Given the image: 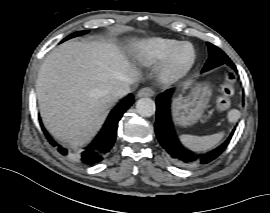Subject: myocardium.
<instances>
[{"mask_svg": "<svg viewBox=\"0 0 270 213\" xmlns=\"http://www.w3.org/2000/svg\"><path fill=\"white\" fill-rule=\"evenodd\" d=\"M187 46L190 49L189 57L182 60L178 57L182 47ZM196 60V50L194 46L187 41L178 42L162 61L159 68V78L162 82L173 83L181 80L191 70Z\"/></svg>", "mask_w": 270, "mask_h": 213, "instance_id": "f54148a6", "label": "myocardium"}]
</instances>
